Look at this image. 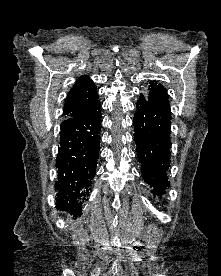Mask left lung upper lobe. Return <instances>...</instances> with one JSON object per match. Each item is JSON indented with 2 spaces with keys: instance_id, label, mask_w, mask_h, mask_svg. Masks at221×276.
<instances>
[{
  "instance_id": "left-lung-upper-lobe-1",
  "label": "left lung upper lobe",
  "mask_w": 221,
  "mask_h": 276,
  "mask_svg": "<svg viewBox=\"0 0 221 276\" xmlns=\"http://www.w3.org/2000/svg\"><path fill=\"white\" fill-rule=\"evenodd\" d=\"M145 97L155 106L170 112L168 94L162 85L151 82Z\"/></svg>"
}]
</instances>
